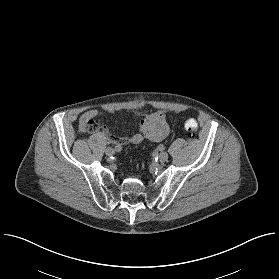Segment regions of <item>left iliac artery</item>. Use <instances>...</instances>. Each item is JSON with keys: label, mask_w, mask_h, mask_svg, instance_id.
<instances>
[{"label": "left iliac artery", "mask_w": 279, "mask_h": 279, "mask_svg": "<svg viewBox=\"0 0 279 279\" xmlns=\"http://www.w3.org/2000/svg\"><path fill=\"white\" fill-rule=\"evenodd\" d=\"M158 148H159L160 150H164V149H165L164 145H162V144H160V145L158 146Z\"/></svg>", "instance_id": "obj_1"}]
</instances>
